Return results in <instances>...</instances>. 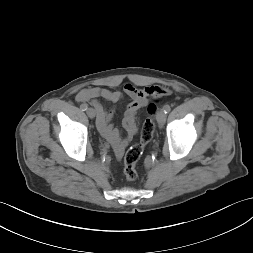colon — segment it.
Segmentation results:
<instances>
[{
  "label": "colon",
  "mask_w": 253,
  "mask_h": 253,
  "mask_svg": "<svg viewBox=\"0 0 253 253\" xmlns=\"http://www.w3.org/2000/svg\"><path fill=\"white\" fill-rule=\"evenodd\" d=\"M165 94H166V90L164 88L159 87L156 89L155 98H158ZM156 110H157V107L155 103H152L148 106L149 117L146 119V121L144 122L142 126L140 139L138 143L131 146L124 155L123 171H124L125 178L127 180L132 181L137 178L136 164L142 155L144 147L150 142V140L153 137V133L155 129L153 116L155 115Z\"/></svg>",
  "instance_id": "5ec220e1"
}]
</instances>
